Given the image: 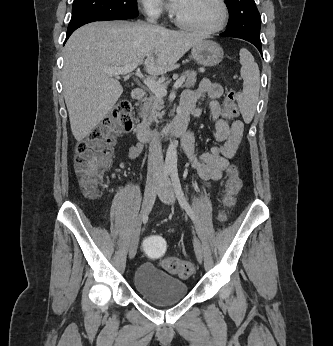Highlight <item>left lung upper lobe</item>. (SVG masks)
Listing matches in <instances>:
<instances>
[{"label": "left lung upper lobe", "mask_w": 333, "mask_h": 346, "mask_svg": "<svg viewBox=\"0 0 333 346\" xmlns=\"http://www.w3.org/2000/svg\"><path fill=\"white\" fill-rule=\"evenodd\" d=\"M229 10L227 32L260 41L261 17L254 0H225Z\"/></svg>", "instance_id": "obj_1"}]
</instances>
